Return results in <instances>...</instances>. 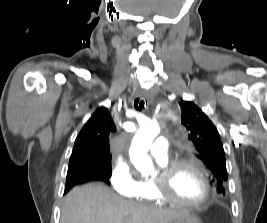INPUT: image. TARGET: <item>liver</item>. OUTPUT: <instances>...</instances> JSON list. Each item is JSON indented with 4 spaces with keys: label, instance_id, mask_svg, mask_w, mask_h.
Instances as JSON below:
<instances>
[{
    "label": "liver",
    "instance_id": "6515ba94",
    "mask_svg": "<svg viewBox=\"0 0 267 223\" xmlns=\"http://www.w3.org/2000/svg\"><path fill=\"white\" fill-rule=\"evenodd\" d=\"M187 212L125 200L102 183H89L66 195L61 223H169Z\"/></svg>",
    "mask_w": 267,
    "mask_h": 223
}]
</instances>
